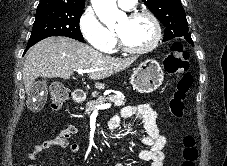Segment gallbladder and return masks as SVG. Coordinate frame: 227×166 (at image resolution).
Here are the masks:
<instances>
[{
    "instance_id": "bac80fb5",
    "label": "gallbladder",
    "mask_w": 227,
    "mask_h": 166,
    "mask_svg": "<svg viewBox=\"0 0 227 166\" xmlns=\"http://www.w3.org/2000/svg\"><path fill=\"white\" fill-rule=\"evenodd\" d=\"M47 81L40 80L35 82L27 97V107L32 111H37L43 108L47 99Z\"/></svg>"
}]
</instances>
